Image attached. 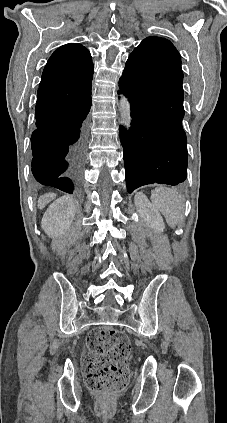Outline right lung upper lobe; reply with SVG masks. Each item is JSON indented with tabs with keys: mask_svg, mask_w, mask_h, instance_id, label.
<instances>
[{
	"mask_svg": "<svg viewBox=\"0 0 227 423\" xmlns=\"http://www.w3.org/2000/svg\"><path fill=\"white\" fill-rule=\"evenodd\" d=\"M94 65L89 51L69 43L49 58L41 78L38 97L48 101L91 94Z\"/></svg>",
	"mask_w": 227,
	"mask_h": 423,
	"instance_id": "right-lung-upper-lobe-1",
	"label": "right lung upper lobe"
}]
</instances>
